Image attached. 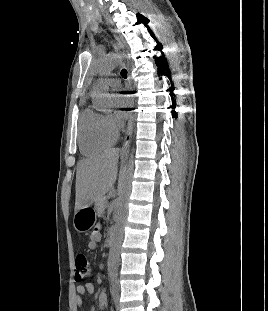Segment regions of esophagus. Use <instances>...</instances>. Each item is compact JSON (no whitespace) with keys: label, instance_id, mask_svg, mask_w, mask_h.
Segmentation results:
<instances>
[{"label":"esophagus","instance_id":"34e87169","mask_svg":"<svg viewBox=\"0 0 268 311\" xmlns=\"http://www.w3.org/2000/svg\"><path fill=\"white\" fill-rule=\"evenodd\" d=\"M127 80L130 85V90L135 93L136 91V85H131V76H130V70L128 69V74H127ZM132 132H133V116L130 117L128 121V127H127V133L123 142V146L121 151L125 153L130 145L131 142V137H132Z\"/></svg>","mask_w":268,"mask_h":311}]
</instances>
